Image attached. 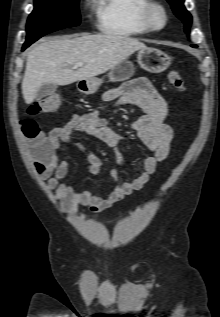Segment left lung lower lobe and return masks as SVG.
Listing matches in <instances>:
<instances>
[{"instance_id": "0a47b994", "label": "left lung lower lobe", "mask_w": 220, "mask_h": 317, "mask_svg": "<svg viewBox=\"0 0 220 317\" xmlns=\"http://www.w3.org/2000/svg\"><path fill=\"white\" fill-rule=\"evenodd\" d=\"M192 47H197L196 45H192Z\"/></svg>"}]
</instances>
